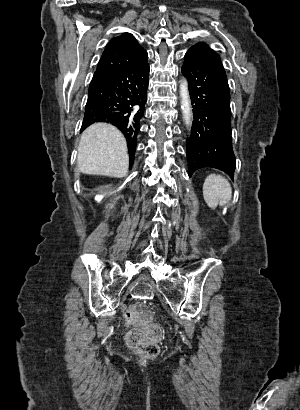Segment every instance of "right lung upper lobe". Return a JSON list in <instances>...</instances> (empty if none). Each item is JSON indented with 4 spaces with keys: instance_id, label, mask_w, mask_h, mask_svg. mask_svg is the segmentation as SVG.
I'll return each mask as SVG.
<instances>
[{
    "instance_id": "cb5924a9",
    "label": "right lung upper lobe",
    "mask_w": 300,
    "mask_h": 410,
    "mask_svg": "<svg viewBox=\"0 0 300 410\" xmlns=\"http://www.w3.org/2000/svg\"><path fill=\"white\" fill-rule=\"evenodd\" d=\"M147 61V52L129 33L114 37L106 45L94 76L112 72L128 65H139ZM131 156L135 151L131 152Z\"/></svg>"
}]
</instances>
